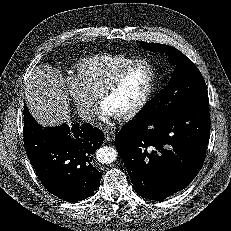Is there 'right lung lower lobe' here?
<instances>
[{
	"label": "right lung lower lobe",
	"mask_w": 231,
	"mask_h": 231,
	"mask_svg": "<svg viewBox=\"0 0 231 231\" xmlns=\"http://www.w3.org/2000/svg\"><path fill=\"white\" fill-rule=\"evenodd\" d=\"M23 114L26 153L43 186L70 202L92 195L101 179L92 155L103 143V132L88 123L43 128L26 106Z\"/></svg>",
	"instance_id": "right-lung-lower-lobe-1"
}]
</instances>
